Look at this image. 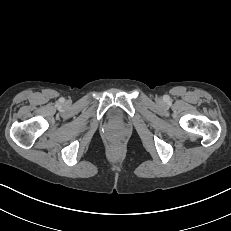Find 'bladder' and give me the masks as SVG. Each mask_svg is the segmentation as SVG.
Segmentation results:
<instances>
[{
    "mask_svg": "<svg viewBox=\"0 0 231 231\" xmlns=\"http://www.w3.org/2000/svg\"><path fill=\"white\" fill-rule=\"evenodd\" d=\"M110 115H111L112 118H117L118 115H119V110L116 109V108H113V109L111 110Z\"/></svg>",
    "mask_w": 231,
    "mask_h": 231,
    "instance_id": "obj_1",
    "label": "bladder"
}]
</instances>
